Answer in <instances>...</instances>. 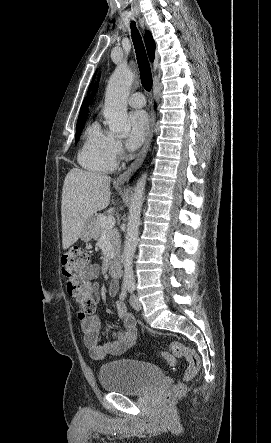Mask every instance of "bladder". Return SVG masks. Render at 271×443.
I'll list each match as a JSON object with an SVG mask.
<instances>
[{"label": "bladder", "instance_id": "bladder-1", "mask_svg": "<svg viewBox=\"0 0 271 443\" xmlns=\"http://www.w3.org/2000/svg\"><path fill=\"white\" fill-rule=\"evenodd\" d=\"M156 365L133 359H116L103 364L99 382L108 392L131 395L148 390L163 380Z\"/></svg>", "mask_w": 271, "mask_h": 443}]
</instances>
